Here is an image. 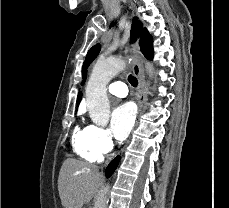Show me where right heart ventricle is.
<instances>
[{"mask_svg":"<svg viewBox=\"0 0 229 208\" xmlns=\"http://www.w3.org/2000/svg\"><path fill=\"white\" fill-rule=\"evenodd\" d=\"M89 131V126L86 128L77 127L72 136V147L81 158L94 162L99 160L102 155L90 144Z\"/></svg>","mask_w":229,"mask_h":208,"instance_id":"e07e8e85","label":"right heart ventricle"}]
</instances>
